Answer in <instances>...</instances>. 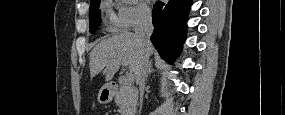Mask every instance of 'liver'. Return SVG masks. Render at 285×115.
Wrapping results in <instances>:
<instances>
[{"instance_id":"liver-1","label":"liver","mask_w":285,"mask_h":115,"mask_svg":"<svg viewBox=\"0 0 285 115\" xmlns=\"http://www.w3.org/2000/svg\"><path fill=\"white\" fill-rule=\"evenodd\" d=\"M151 45L148 58L153 54ZM144 49L134 33L120 32L98 43L90 53L91 78L104 70L105 81H110L118 72L122 62L126 63L131 74L135 75L143 60Z\"/></svg>"}]
</instances>
